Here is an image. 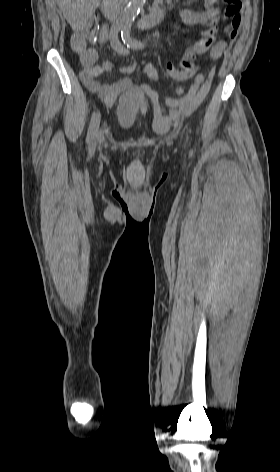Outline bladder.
I'll return each instance as SVG.
<instances>
[{
	"label": "bladder",
	"instance_id": "31cf9c89",
	"mask_svg": "<svg viewBox=\"0 0 280 472\" xmlns=\"http://www.w3.org/2000/svg\"><path fill=\"white\" fill-rule=\"evenodd\" d=\"M146 107V94L140 87H132L117 102L116 120L122 128H131Z\"/></svg>",
	"mask_w": 280,
	"mask_h": 472
}]
</instances>
